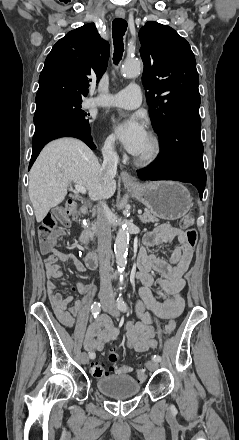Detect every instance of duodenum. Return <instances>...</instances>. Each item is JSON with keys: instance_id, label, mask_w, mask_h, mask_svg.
I'll return each mask as SVG.
<instances>
[{"instance_id": "duodenum-1", "label": "duodenum", "mask_w": 239, "mask_h": 440, "mask_svg": "<svg viewBox=\"0 0 239 440\" xmlns=\"http://www.w3.org/2000/svg\"><path fill=\"white\" fill-rule=\"evenodd\" d=\"M90 213V208L88 205H83L81 207V214L82 215H88ZM91 238V233L89 228L87 227H83L82 232H81V242L85 245L87 252H86V256H85V263L86 266L90 269H94L97 266V254L95 253V251L91 250L90 248H88V243L90 241Z\"/></svg>"}]
</instances>
